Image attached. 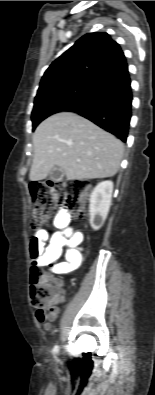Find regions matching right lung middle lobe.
<instances>
[{"instance_id":"dd1d6c3e","label":"right lung middle lobe","mask_w":155,"mask_h":395,"mask_svg":"<svg viewBox=\"0 0 155 395\" xmlns=\"http://www.w3.org/2000/svg\"><path fill=\"white\" fill-rule=\"evenodd\" d=\"M100 83L75 80L56 84L40 90L35 97L32 111L33 128L48 116L64 111L94 92Z\"/></svg>"}]
</instances>
